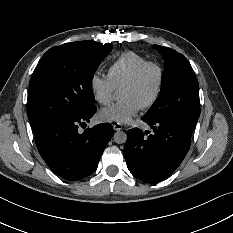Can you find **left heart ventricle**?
<instances>
[{"mask_svg":"<svg viewBox=\"0 0 233 233\" xmlns=\"http://www.w3.org/2000/svg\"><path fill=\"white\" fill-rule=\"evenodd\" d=\"M158 79V70L155 67L148 68L136 85L121 88L120 99L131 97L144 105L153 97L157 88Z\"/></svg>","mask_w":233,"mask_h":233,"instance_id":"1","label":"left heart ventricle"}]
</instances>
